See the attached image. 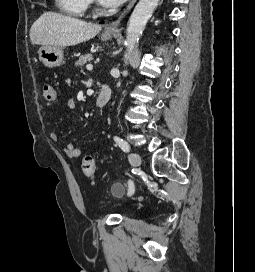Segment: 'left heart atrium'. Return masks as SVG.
Here are the masks:
<instances>
[{
  "label": "left heart atrium",
  "instance_id": "39dd6f15",
  "mask_svg": "<svg viewBox=\"0 0 255 272\" xmlns=\"http://www.w3.org/2000/svg\"><path fill=\"white\" fill-rule=\"evenodd\" d=\"M125 0H99L101 5L105 7H117L121 5Z\"/></svg>",
  "mask_w": 255,
  "mask_h": 272
}]
</instances>
